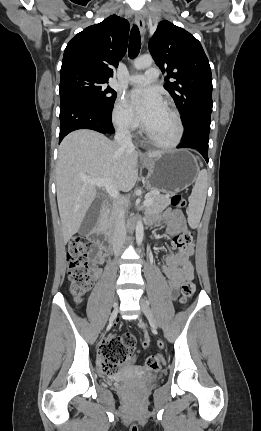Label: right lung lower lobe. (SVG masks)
<instances>
[{
  "instance_id": "1",
  "label": "right lung lower lobe",
  "mask_w": 261,
  "mask_h": 431,
  "mask_svg": "<svg viewBox=\"0 0 261 431\" xmlns=\"http://www.w3.org/2000/svg\"><path fill=\"white\" fill-rule=\"evenodd\" d=\"M112 109L113 107L101 110L83 99L69 95L60 96L59 143L68 133L78 129L113 133Z\"/></svg>"
}]
</instances>
